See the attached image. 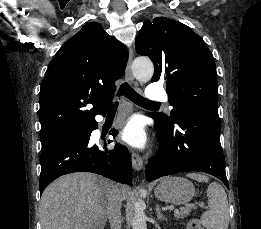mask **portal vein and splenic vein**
Returning <instances> with one entry per match:
<instances>
[{
    "label": "portal vein and splenic vein",
    "mask_w": 261,
    "mask_h": 229,
    "mask_svg": "<svg viewBox=\"0 0 261 229\" xmlns=\"http://www.w3.org/2000/svg\"><path fill=\"white\" fill-rule=\"evenodd\" d=\"M205 203H187L186 206L181 207L179 210L175 209V213L182 214L184 211H187L188 208H205Z\"/></svg>",
    "instance_id": "portal-vein-and-splenic-vein-1"
}]
</instances>
